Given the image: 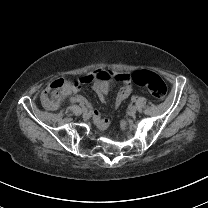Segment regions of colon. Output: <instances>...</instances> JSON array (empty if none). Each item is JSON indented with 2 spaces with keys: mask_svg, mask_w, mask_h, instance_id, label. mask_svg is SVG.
I'll return each instance as SVG.
<instances>
[{
  "mask_svg": "<svg viewBox=\"0 0 208 208\" xmlns=\"http://www.w3.org/2000/svg\"><path fill=\"white\" fill-rule=\"evenodd\" d=\"M113 79L117 81L123 80L117 79L108 71H100L94 75V80L109 81ZM132 80L137 86L148 89L151 96L155 99H164L167 94L165 82L156 73L136 71L132 75ZM82 89L83 82L77 78L64 77L61 80H54L45 89L43 103L48 108H55L58 106L59 100L63 99L65 95L72 92H80ZM120 126L122 129L127 130L130 128L131 123L129 120L124 119L121 121Z\"/></svg>",
  "mask_w": 208,
  "mask_h": 208,
  "instance_id": "obj_1",
  "label": "colon"
}]
</instances>
